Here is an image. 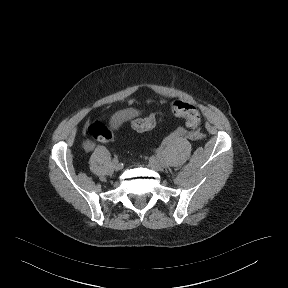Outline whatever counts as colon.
<instances>
[{
  "instance_id": "colon-1",
  "label": "colon",
  "mask_w": 288,
  "mask_h": 288,
  "mask_svg": "<svg viewBox=\"0 0 288 288\" xmlns=\"http://www.w3.org/2000/svg\"><path fill=\"white\" fill-rule=\"evenodd\" d=\"M172 112L184 119L186 126L195 129L201 121L199 109L190 103L180 100L173 101L171 104ZM160 113L153 112L144 119H134L130 122V127L134 131L143 132L153 127L159 120ZM89 135L100 143H109L113 140V134L103 123H93L88 127Z\"/></svg>"
}]
</instances>
